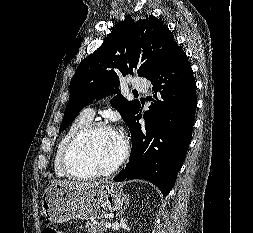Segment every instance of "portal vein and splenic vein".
<instances>
[{
	"mask_svg": "<svg viewBox=\"0 0 253 233\" xmlns=\"http://www.w3.org/2000/svg\"><path fill=\"white\" fill-rule=\"evenodd\" d=\"M111 226H112V225H111V223H109V222L105 224V227H106V228H110Z\"/></svg>",
	"mask_w": 253,
	"mask_h": 233,
	"instance_id": "1",
	"label": "portal vein and splenic vein"
}]
</instances>
